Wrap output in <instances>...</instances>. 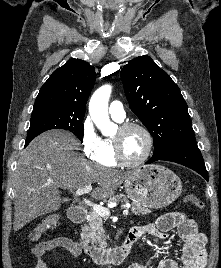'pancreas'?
<instances>
[{
  "label": "pancreas",
  "instance_id": "1",
  "mask_svg": "<svg viewBox=\"0 0 221 268\" xmlns=\"http://www.w3.org/2000/svg\"><path fill=\"white\" fill-rule=\"evenodd\" d=\"M122 201L128 203V199L120 194L112 197L108 202ZM131 212L135 215H146L151 212L150 209L142 207L140 204L133 202ZM81 238L93 246L106 247L105 234L103 229V219L96 212H90L88 216V224L82 226Z\"/></svg>",
  "mask_w": 221,
  "mask_h": 268
}]
</instances>
